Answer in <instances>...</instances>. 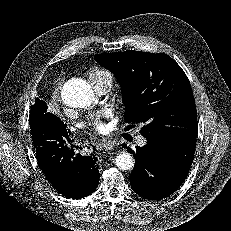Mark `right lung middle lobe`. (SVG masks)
Masks as SVG:
<instances>
[{"instance_id":"obj_1","label":"right lung middle lobe","mask_w":231,"mask_h":231,"mask_svg":"<svg viewBox=\"0 0 231 231\" xmlns=\"http://www.w3.org/2000/svg\"><path fill=\"white\" fill-rule=\"evenodd\" d=\"M45 103L39 99H36L35 105L32 106L30 110V116H29V124L31 125L32 123L35 122V118L42 113V109L44 108Z\"/></svg>"}]
</instances>
